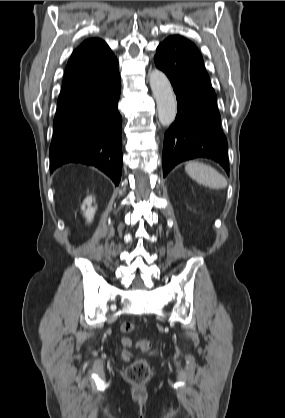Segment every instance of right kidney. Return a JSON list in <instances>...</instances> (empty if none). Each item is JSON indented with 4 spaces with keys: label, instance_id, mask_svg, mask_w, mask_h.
Returning a JSON list of instances; mask_svg holds the SVG:
<instances>
[{
    "label": "right kidney",
    "instance_id": "ca27d5eb",
    "mask_svg": "<svg viewBox=\"0 0 285 418\" xmlns=\"http://www.w3.org/2000/svg\"><path fill=\"white\" fill-rule=\"evenodd\" d=\"M93 201H95L94 197L88 196L84 200L83 205L81 207L83 212H84V216L86 217L87 222H89V223L93 220L94 215H95V211H96V208H97V207H92V202ZM86 206H87V208H86Z\"/></svg>",
    "mask_w": 285,
    "mask_h": 418
}]
</instances>
